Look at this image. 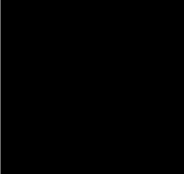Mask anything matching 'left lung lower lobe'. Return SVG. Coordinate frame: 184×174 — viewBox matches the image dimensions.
<instances>
[{
	"label": "left lung lower lobe",
	"instance_id": "0a47b994",
	"mask_svg": "<svg viewBox=\"0 0 184 174\" xmlns=\"http://www.w3.org/2000/svg\"><path fill=\"white\" fill-rule=\"evenodd\" d=\"M163 134L139 127L125 125L122 134L116 138L118 150L132 155L146 154L161 140Z\"/></svg>",
	"mask_w": 184,
	"mask_h": 174
}]
</instances>
